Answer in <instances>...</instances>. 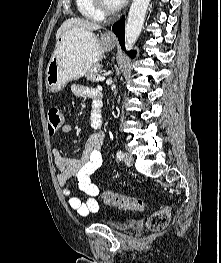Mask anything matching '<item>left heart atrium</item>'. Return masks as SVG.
<instances>
[{"label": "left heart atrium", "mask_w": 221, "mask_h": 263, "mask_svg": "<svg viewBox=\"0 0 221 263\" xmlns=\"http://www.w3.org/2000/svg\"><path fill=\"white\" fill-rule=\"evenodd\" d=\"M118 4H122L125 0H116Z\"/></svg>", "instance_id": "obj_1"}]
</instances>
